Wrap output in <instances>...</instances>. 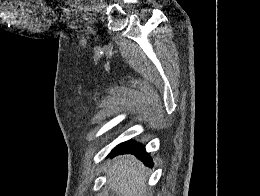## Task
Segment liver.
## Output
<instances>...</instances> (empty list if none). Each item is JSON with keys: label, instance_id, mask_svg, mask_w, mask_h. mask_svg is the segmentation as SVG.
I'll use <instances>...</instances> for the list:
<instances>
[{"label": "liver", "instance_id": "1", "mask_svg": "<svg viewBox=\"0 0 260 196\" xmlns=\"http://www.w3.org/2000/svg\"><path fill=\"white\" fill-rule=\"evenodd\" d=\"M148 168L135 156H119L108 166V184L118 196H147Z\"/></svg>", "mask_w": 260, "mask_h": 196}]
</instances>
